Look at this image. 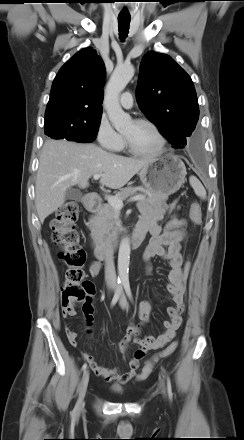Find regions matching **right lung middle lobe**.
<instances>
[{
  "label": "right lung middle lobe",
  "instance_id": "dd1d6c3e",
  "mask_svg": "<svg viewBox=\"0 0 244 440\" xmlns=\"http://www.w3.org/2000/svg\"><path fill=\"white\" fill-rule=\"evenodd\" d=\"M100 121L89 124L69 121H45V134L52 139H66L76 142H92L95 140Z\"/></svg>",
  "mask_w": 244,
  "mask_h": 440
}]
</instances>
